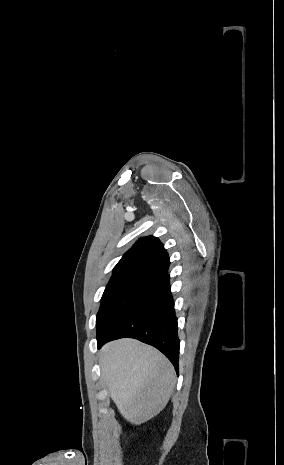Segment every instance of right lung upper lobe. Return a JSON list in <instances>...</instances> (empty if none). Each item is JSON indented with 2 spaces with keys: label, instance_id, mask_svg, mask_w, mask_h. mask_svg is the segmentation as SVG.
Instances as JSON below:
<instances>
[{
  "label": "right lung upper lobe",
  "instance_id": "obj_1",
  "mask_svg": "<svg viewBox=\"0 0 284 465\" xmlns=\"http://www.w3.org/2000/svg\"><path fill=\"white\" fill-rule=\"evenodd\" d=\"M169 257L153 236L140 238L113 269V278L133 277L157 281L168 272Z\"/></svg>",
  "mask_w": 284,
  "mask_h": 465
}]
</instances>
